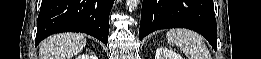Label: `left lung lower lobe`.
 <instances>
[{
	"label": "left lung lower lobe",
	"instance_id": "0a47b994",
	"mask_svg": "<svg viewBox=\"0 0 261 59\" xmlns=\"http://www.w3.org/2000/svg\"><path fill=\"white\" fill-rule=\"evenodd\" d=\"M165 28L194 30L216 50L217 26L213 0H143L139 39Z\"/></svg>",
	"mask_w": 261,
	"mask_h": 59
}]
</instances>
